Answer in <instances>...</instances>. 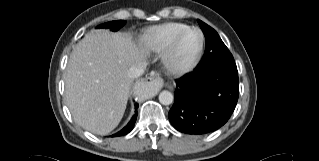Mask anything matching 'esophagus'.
<instances>
[{"mask_svg":"<svg viewBox=\"0 0 319 161\" xmlns=\"http://www.w3.org/2000/svg\"><path fill=\"white\" fill-rule=\"evenodd\" d=\"M147 82L151 83L155 89L160 90L164 85V80L158 72H153L149 77L145 79Z\"/></svg>","mask_w":319,"mask_h":161,"instance_id":"34e87169","label":"esophagus"}]
</instances>
